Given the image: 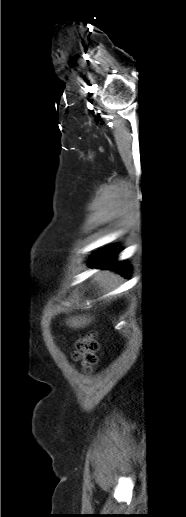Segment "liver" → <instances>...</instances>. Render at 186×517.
<instances>
[{"label": "liver", "mask_w": 186, "mask_h": 517, "mask_svg": "<svg viewBox=\"0 0 186 517\" xmlns=\"http://www.w3.org/2000/svg\"><path fill=\"white\" fill-rule=\"evenodd\" d=\"M95 279L98 281L99 285L104 288H113L115 286V281L117 276L110 271H102L97 273ZM91 322V318H87L86 316H76L71 317L67 320L66 324L71 328H83Z\"/></svg>", "instance_id": "1"}]
</instances>
